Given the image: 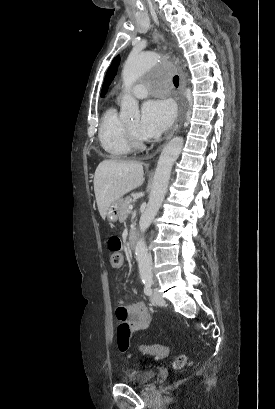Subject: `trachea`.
Wrapping results in <instances>:
<instances>
[{
  "instance_id": "trachea-1",
  "label": "trachea",
  "mask_w": 275,
  "mask_h": 409,
  "mask_svg": "<svg viewBox=\"0 0 275 409\" xmlns=\"http://www.w3.org/2000/svg\"><path fill=\"white\" fill-rule=\"evenodd\" d=\"M173 83H174L175 87H178V85H179V77H178V75H175V77H173Z\"/></svg>"
}]
</instances>
